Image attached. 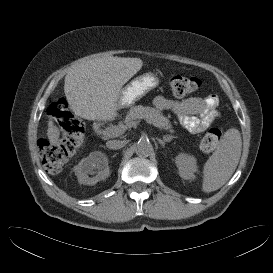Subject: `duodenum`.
<instances>
[{"mask_svg": "<svg viewBox=\"0 0 273 273\" xmlns=\"http://www.w3.org/2000/svg\"><path fill=\"white\" fill-rule=\"evenodd\" d=\"M99 129H100V126H99V124L97 123L96 126H95V130H96V131H99Z\"/></svg>", "mask_w": 273, "mask_h": 273, "instance_id": "1", "label": "duodenum"}]
</instances>
